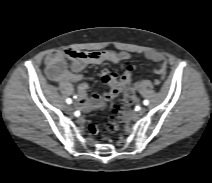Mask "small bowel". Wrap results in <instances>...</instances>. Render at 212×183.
<instances>
[{
  "label": "small bowel",
  "instance_id": "small-bowel-1",
  "mask_svg": "<svg viewBox=\"0 0 212 183\" xmlns=\"http://www.w3.org/2000/svg\"><path fill=\"white\" fill-rule=\"evenodd\" d=\"M130 54L125 51L103 50L84 52L73 49H65L55 51L46 57L47 74L49 78L55 82H71L78 83L82 76L78 74L86 66L90 64L112 63L119 64L122 61L130 59ZM146 59L160 63L155 73L163 76L166 73L167 65L164 56L156 51H149L145 54ZM133 67L128 66L120 79L115 71L104 69L101 71L102 81L109 86V91L103 96L94 94L88 102L87 96V83H80L77 86V98L79 106L82 109H87L91 105L100 104L101 100H112L120 92H122L131 83Z\"/></svg>",
  "mask_w": 212,
  "mask_h": 183
}]
</instances>
